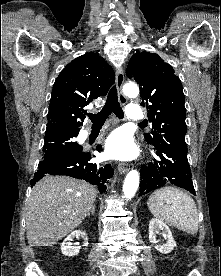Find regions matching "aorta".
<instances>
[{
	"mask_svg": "<svg viewBox=\"0 0 221 276\" xmlns=\"http://www.w3.org/2000/svg\"><path fill=\"white\" fill-rule=\"evenodd\" d=\"M123 92L128 97H137L139 94V88L137 85L128 83L123 87ZM139 186V173L136 170H131L124 180L123 193L127 199H131Z\"/></svg>",
	"mask_w": 221,
	"mask_h": 276,
	"instance_id": "obj_1",
	"label": "aorta"
}]
</instances>
